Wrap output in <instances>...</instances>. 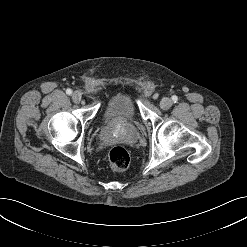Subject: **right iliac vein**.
<instances>
[{
  "mask_svg": "<svg viewBox=\"0 0 247 247\" xmlns=\"http://www.w3.org/2000/svg\"><path fill=\"white\" fill-rule=\"evenodd\" d=\"M72 100H73L75 103H80V101L82 100V94H81V92L75 91V92L72 94Z\"/></svg>",
  "mask_w": 247,
  "mask_h": 247,
  "instance_id": "63e3f726",
  "label": "right iliac vein"
}]
</instances>
